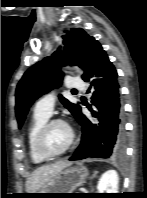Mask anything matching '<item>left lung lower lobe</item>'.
I'll list each match as a JSON object with an SVG mask.
<instances>
[{
	"label": "left lung lower lobe",
	"mask_w": 147,
	"mask_h": 198,
	"mask_svg": "<svg viewBox=\"0 0 147 198\" xmlns=\"http://www.w3.org/2000/svg\"><path fill=\"white\" fill-rule=\"evenodd\" d=\"M117 76V71L106 52L95 40L89 54L84 80L90 81L94 86L91 102L97 107L98 114L94 115L98 118V123L93 124L80 112L77 121L82 127L81 143L70 160L123 156L125 129Z\"/></svg>",
	"instance_id": "obj_1"
}]
</instances>
